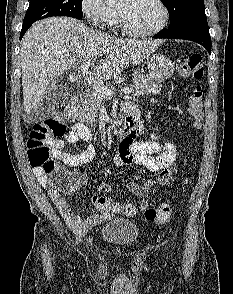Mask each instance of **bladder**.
Returning a JSON list of instances; mask_svg holds the SVG:
<instances>
[{
  "label": "bladder",
  "mask_w": 233,
  "mask_h": 294,
  "mask_svg": "<svg viewBox=\"0 0 233 294\" xmlns=\"http://www.w3.org/2000/svg\"><path fill=\"white\" fill-rule=\"evenodd\" d=\"M100 237L106 243L128 247L139 237V228L131 220L115 218L106 222L100 229Z\"/></svg>",
  "instance_id": "31cf9c89"
}]
</instances>
